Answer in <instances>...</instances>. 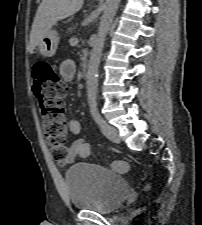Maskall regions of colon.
Instances as JSON below:
<instances>
[{"instance_id":"colon-1","label":"colon","mask_w":202,"mask_h":225,"mask_svg":"<svg viewBox=\"0 0 202 225\" xmlns=\"http://www.w3.org/2000/svg\"><path fill=\"white\" fill-rule=\"evenodd\" d=\"M32 75L47 144L53 156L61 159L68 152V129L64 110L68 85L57 74L55 66L45 60H39L33 65ZM111 168L117 173H125L130 169V164L127 161H115Z\"/></svg>"}]
</instances>
